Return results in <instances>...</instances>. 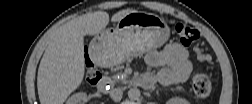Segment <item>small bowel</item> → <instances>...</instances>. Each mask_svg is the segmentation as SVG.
I'll return each mask as SVG.
<instances>
[{"mask_svg":"<svg viewBox=\"0 0 252 104\" xmlns=\"http://www.w3.org/2000/svg\"><path fill=\"white\" fill-rule=\"evenodd\" d=\"M146 63L151 67H160L158 72L145 76L152 79V84L158 81L165 86L181 85L192 72L189 52L178 43H170L160 51H151L146 56Z\"/></svg>","mask_w":252,"mask_h":104,"instance_id":"small-bowel-1","label":"small bowel"}]
</instances>
